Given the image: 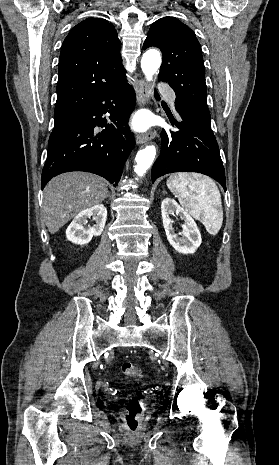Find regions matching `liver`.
Listing matches in <instances>:
<instances>
[{"label":"liver","instance_id":"liver-1","mask_svg":"<svg viewBox=\"0 0 279 465\" xmlns=\"http://www.w3.org/2000/svg\"><path fill=\"white\" fill-rule=\"evenodd\" d=\"M108 194L102 177L86 172H68L51 179L44 189L43 218L55 234L81 211L100 204Z\"/></svg>","mask_w":279,"mask_h":465}]
</instances>
